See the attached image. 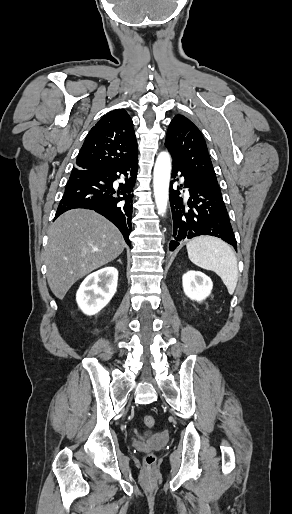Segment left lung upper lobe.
Listing matches in <instances>:
<instances>
[{"label":"left lung upper lobe","instance_id":"left-lung-upper-lobe-1","mask_svg":"<svg viewBox=\"0 0 292 514\" xmlns=\"http://www.w3.org/2000/svg\"><path fill=\"white\" fill-rule=\"evenodd\" d=\"M173 161L193 179L219 188L216 174L200 130L188 118L176 115L165 140Z\"/></svg>","mask_w":292,"mask_h":514}]
</instances>
